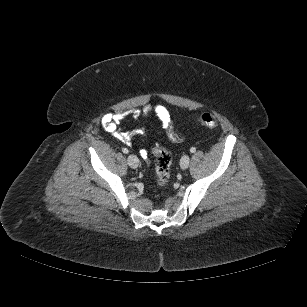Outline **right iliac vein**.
Segmentation results:
<instances>
[{"instance_id": "1", "label": "right iliac vein", "mask_w": 307, "mask_h": 307, "mask_svg": "<svg viewBox=\"0 0 307 307\" xmlns=\"http://www.w3.org/2000/svg\"><path fill=\"white\" fill-rule=\"evenodd\" d=\"M127 162L131 168H137L139 166V159L135 155H129Z\"/></svg>"}]
</instances>
